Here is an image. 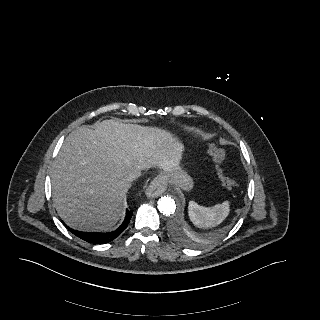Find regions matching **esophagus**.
Segmentation results:
<instances>
[{
  "mask_svg": "<svg viewBox=\"0 0 320 320\" xmlns=\"http://www.w3.org/2000/svg\"><path fill=\"white\" fill-rule=\"evenodd\" d=\"M167 189V180L164 176L155 177L146 189V196L149 198L158 197Z\"/></svg>",
  "mask_w": 320,
  "mask_h": 320,
  "instance_id": "1",
  "label": "esophagus"
}]
</instances>
